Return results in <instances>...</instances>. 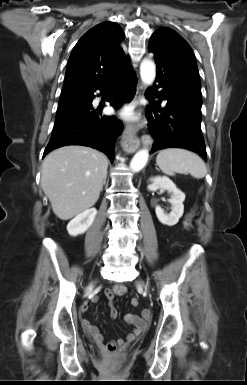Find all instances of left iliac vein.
Instances as JSON below:
<instances>
[{
	"label": "left iliac vein",
	"mask_w": 247,
	"mask_h": 385,
	"mask_svg": "<svg viewBox=\"0 0 247 385\" xmlns=\"http://www.w3.org/2000/svg\"><path fill=\"white\" fill-rule=\"evenodd\" d=\"M138 285L140 286V287H144L145 289H147L148 287H147V285L146 284H144L143 282H139L138 283Z\"/></svg>",
	"instance_id": "left-iliac-vein-1"
}]
</instances>
